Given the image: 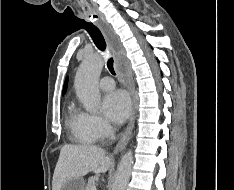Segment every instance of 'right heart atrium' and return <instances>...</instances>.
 <instances>
[{"instance_id":"right-heart-atrium-1","label":"right heart atrium","mask_w":234,"mask_h":190,"mask_svg":"<svg viewBox=\"0 0 234 190\" xmlns=\"http://www.w3.org/2000/svg\"><path fill=\"white\" fill-rule=\"evenodd\" d=\"M86 124L90 128V130L95 134L97 139H105L112 134V127L107 120L103 117L95 115L83 113Z\"/></svg>"}]
</instances>
